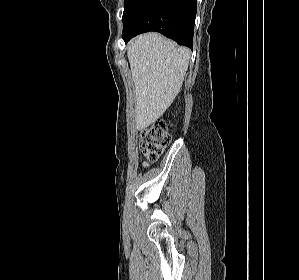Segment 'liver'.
<instances>
[{
    "label": "liver",
    "mask_w": 299,
    "mask_h": 280,
    "mask_svg": "<svg viewBox=\"0 0 299 280\" xmlns=\"http://www.w3.org/2000/svg\"><path fill=\"white\" fill-rule=\"evenodd\" d=\"M127 55L135 86L136 129L143 130L164 114L179 93L190 50L152 32L134 38Z\"/></svg>",
    "instance_id": "6515ba94"
}]
</instances>
